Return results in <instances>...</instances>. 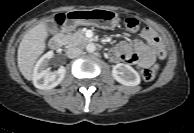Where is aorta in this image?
Masks as SVG:
<instances>
[{
  "label": "aorta",
  "mask_w": 194,
  "mask_h": 133,
  "mask_svg": "<svg viewBox=\"0 0 194 133\" xmlns=\"http://www.w3.org/2000/svg\"><path fill=\"white\" fill-rule=\"evenodd\" d=\"M86 50L89 53H93L96 50V46L93 43H89L86 45Z\"/></svg>",
  "instance_id": "1"
}]
</instances>
